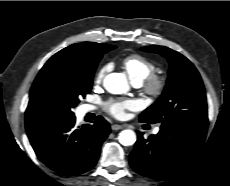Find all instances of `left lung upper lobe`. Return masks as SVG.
<instances>
[{
  "instance_id": "obj_1",
  "label": "left lung upper lobe",
  "mask_w": 230,
  "mask_h": 186,
  "mask_svg": "<svg viewBox=\"0 0 230 186\" xmlns=\"http://www.w3.org/2000/svg\"><path fill=\"white\" fill-rule=\"evenodd\" d=\"M142 51L159 53L169 64L163 94L142 112L140 121L161 126L182 122H208L203 82L195 66L182 54L165 46L151 45Z\"/></svg>"
}]
</instances>
